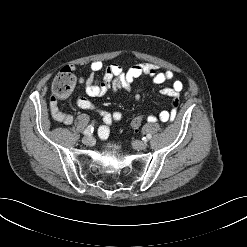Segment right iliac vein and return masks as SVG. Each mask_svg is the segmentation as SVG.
<instances>
[{
	"instance_id": "1",
	"label": "right iliac vein",
	"mask_w": 247,
	"mask_h": 247,
	"mask_svg": "<svg viewBox=\"0 0 247 247\" xmlns=\"http://www.w3.org/2000/svg\"><path fill=\"white\" fill-rule=\"evenodd\" d=\"M82 142L87 146H91L94 144V139L91 136H86L83 138Z\"/></svg>"
}]
</instances>
